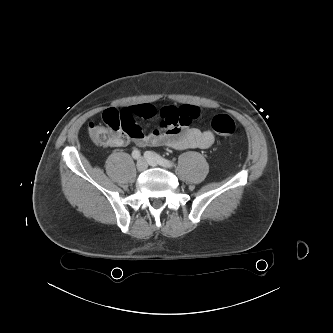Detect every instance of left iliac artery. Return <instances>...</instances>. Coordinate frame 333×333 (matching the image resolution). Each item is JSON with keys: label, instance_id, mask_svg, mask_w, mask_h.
Masks as SVG:
<instances>
[{"label": "left iliac artery", "instance_id": "1", "mask_svg": "<svg viewBox=\"0 0 333 333\" xmlns=\"http://www.w3.org/2000/svg\"><path fill=\"white\" fill-rule=\"evenodd\" d=\"M144 155H145L146 158L147 157H154L161 166L168 167V168L175 166L174 162H172L170 160H167V159L163 158L162 156H160L156 153L147 151Z\"/></svg>", "mask_w": 333, "mask_h": 333}]
</instances>
